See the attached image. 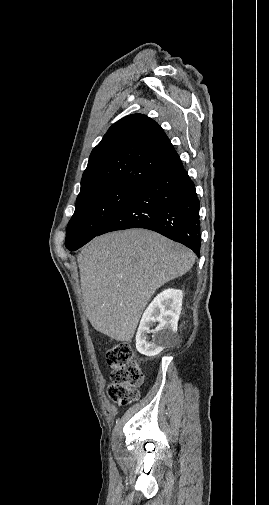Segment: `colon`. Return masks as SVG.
<instances>
[{"label": "colon", "mask_w": 269, "mask_h": 505, "mask_svg": "<svg viewBox=\"0 0 269 505\" xmlns=\"http://www.w3.org/2000/svg\"><path fill=\"white\" fill-rule=\"evenodd\" d=\"M106 361L111 368L109 397L120 405H127L139 397L137 387L142 384L143 374L139 361L131 345L118 342L106 353Z\"/></svg>", "instance_id": "1"}]
</instances>
